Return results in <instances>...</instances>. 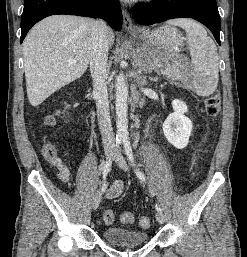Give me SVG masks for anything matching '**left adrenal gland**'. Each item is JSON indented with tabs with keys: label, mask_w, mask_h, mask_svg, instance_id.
<instances>
[{
	"label": "left adrenal gland",
	"mask_w": 247,
	"mask_h": 257,
	"mask_svg": "<svg viewBox=\"0 0 247 257\" xmlns=\"http://www.w3.org/2000/svg\"><path fill=\"white\" fill-rule=\"evenodd\" d=\"M151 81H157L158 78H150Z\"/></svg>",
	"instance_id": "obj_1"
}]
</instances>
